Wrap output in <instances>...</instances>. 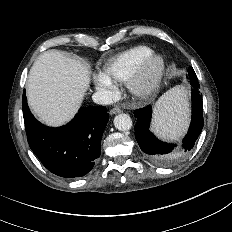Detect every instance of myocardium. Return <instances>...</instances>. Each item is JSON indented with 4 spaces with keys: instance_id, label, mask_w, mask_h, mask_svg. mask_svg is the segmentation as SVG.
<instances>
[{
    "instance_id": "obj_1",
    "label": "myocardium",
    "mask_w": 232,
    "mask_h": 232,
    "mask_svg": "<svg viewBox=\"0 0 232 232\" xmlns=\"http://www.w3.org/2000/svg\"><path fill=\"white\" fill-rule=\"evenodd\" d=\"M166 68L165 58L158 53L147 56L127 81L130 93L137 98L151 96L160 86Z\"/></svg>"
}]
</instances>
